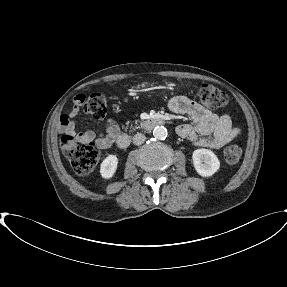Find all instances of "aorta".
Returning a JSON list of instances; mask_svg holds the SVG:
<instances>
[{
    "mask_svg": "<svg viewBox=\"0 0 287 287\" xmlns=\"http://www.w3.org/2000/svg\"><path fill=\"white\" fill-rule=\"evenodd\" d=\"M153 136L156 139L164 140L167 137V129L164 126H157L153 130Z\"/></svg>",
    "mask_w": 287,
    "mask_h": 287,
    "instance_id": "obj_1",
    "label": "aorta"
}]
</instances>
